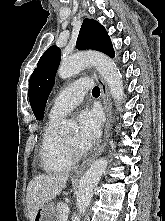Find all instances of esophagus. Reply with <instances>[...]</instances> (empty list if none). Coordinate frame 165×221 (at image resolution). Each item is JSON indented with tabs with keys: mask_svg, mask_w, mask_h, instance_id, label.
Instances as JSON below:
<instances>
[{
	"mask_svg": "<svg viewBox=\"0 0 165 221\" xmlns=\"http://www.w3.org/2000/svg\"><path fill=\"white\" fill-rule=\"evenodd\" d=\"M92 75L100 86L101 97L103 100L104 111L106 114L104 136H103L102 144L100 145L98 150L95 152V154L92 157H90L88 160H86L81 165V167L76 171V175L81 174L86 169V167L89 164H91L104 151V149L107 145V141H108V137H109V133H110V129H111V124H112V102H111L110 93L107 88V85H106L105 81L100 77V75H98V73L96 71H93Z\"/></svg>",
	"mask_w": 165,
	"mask_h": 221,
	"instance_id": "34e87169",
	"label": "esophagus"
}]
</instances>
